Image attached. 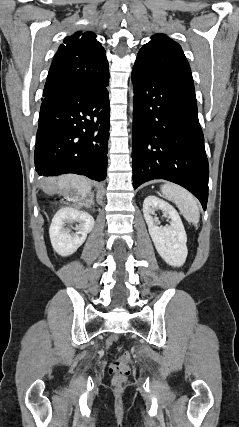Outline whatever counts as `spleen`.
Instances as JSON below:
<instances>
[{"instance_id": "obj_1", "label": "spleen", "mask_w": 239, "mask_h": 427, "mask_svg": "<svg viewBox=\"0 0 239 427\" xmlns=\"http://www.w3.org/2000/svg\"><path fill=\"white\" fill-rule=\"evenodd\" d=\"M163 197L176 204L183 217L190 223L197 224L200 219V212L197 200L184 188L166 183L161 186Z\"/></svg>"}]
</instances>
